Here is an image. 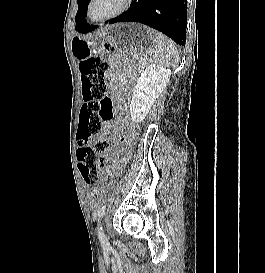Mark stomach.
<instances>
[{
  "label": "stomach",
  "instance_id": "stomach-1",
  "mask_svg": "<svg viewBox=\"0 0 265 273\" xmlns=\"http://www.w3.org/2000/svg\"><path fill=\"white\" fill-rule=\"evenodd\" d=\"M147 25H106V30H100L103 41L108 40L113 45H127L128 49H147L148 35H154V30H147ZM119 40V41H118ZM96 43L75 37L72 50L79 59L92 50ZM132 56H145V51H132Z\"/></svg>",
  "mask_w": 265,
  "mask_h": 273
}]
</instances>
